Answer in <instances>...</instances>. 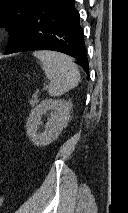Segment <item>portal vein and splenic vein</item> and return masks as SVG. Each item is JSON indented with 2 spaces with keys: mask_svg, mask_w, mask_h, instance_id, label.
<instances>
[{
  "mask_svg": "<svg viewBox=\"0 0 128 213\" xmlns=\"http://www.w3.org/2000/svg\"><path fill=\"white\" fill-rule=\"evenodd\" d=\"M38 91L33 94V97H37Z\"/></svg>",
  "mask_w": 128,
  "mask_h": 213,
  "instance_id": "18ae733b",
  "label": "portal vein and splenic vein"
}]
</instances>
